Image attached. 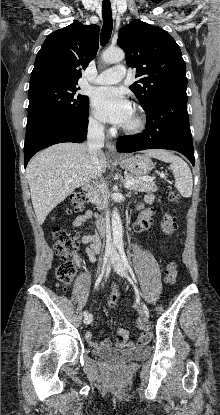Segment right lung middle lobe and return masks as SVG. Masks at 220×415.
I'll return each mask as SVG.
<instances>
[{
    "label": "right lung middle lobe",
    "instance_id": "obj_1",
    "mask_svg": "<svg viewBox=\"0 0 220 415\" xmlns=\"http://www.w3.org/2000/svg\"><path fill=\"white\" fill-rule=\"evenodd\" d=\"M78 82L55 78L30 80L26 130L37 124L58 118L65 123L82 120L88 111V97L77 94Z\"/></svg>",
    "mask_w": 220,
    "mask_h": 415
}]
</instances>
